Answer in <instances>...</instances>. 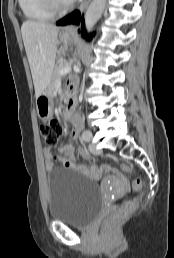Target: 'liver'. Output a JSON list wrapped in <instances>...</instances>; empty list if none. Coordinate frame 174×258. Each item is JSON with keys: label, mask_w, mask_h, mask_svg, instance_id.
Segmentation results:
<instances>
[{"label": "liver", "mask_w": 174, "mask_h": 258, "mask_svg": "<svg viewBox=\"0 0 174 258\" xmlns=\"http://www.w3.org/2000/svg\"><path fill=\"white\" fill-rule=\"evenodd\" d=\"M59 28L48 23L25 21L21 33L29 61L35 96L48 87L54 68Z\"/></svg>", "instance_id": "6515ba94"}]
</instances>
